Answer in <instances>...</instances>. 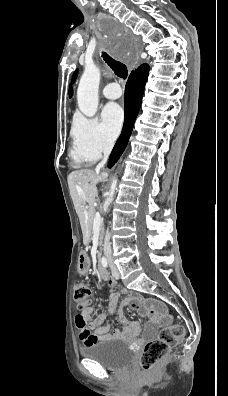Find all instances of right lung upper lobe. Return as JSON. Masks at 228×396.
<instances>
[{"label": "right lung upper lobe", "mask_w": 228, "mask_h": 396, "mask_svg": "<svg viewBox=\"0 0 228 396\" xmlns=\"http://www.w3.org/2000/svg\"><path fill=\"white\" fill-rule=\"evenodd\" d=\"M69 95L71 96L72 95V88L70 87V89H69Z\"/></svg>", "instance_id": "1"}]
</instances>
